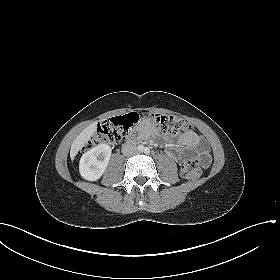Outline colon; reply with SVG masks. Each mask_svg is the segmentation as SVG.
<instances>
[{"mask_svg":"<svg viewBox=\"0 0 280 280\" xmlns=\"http://www.w3.org/2000/svg\"><path fill=\"white\" fill-rule=\"evenodd\" d=\"M138 119V114L129 113L103 121L90 137L87 147L101 144L114 145L120 142L125 133L138 122ZM148 119L162 133L179 134L189 132L192 129L186 120L174 115L151 113ZM203 165L204 161L202 159H190L182 166L181 176L189 180L196 179L201 175Z\"/></svg>","mask_w":280,"mask_h":280,"instance_id":"5ec220e1","label":"colon"}]
</instances>
